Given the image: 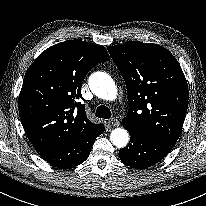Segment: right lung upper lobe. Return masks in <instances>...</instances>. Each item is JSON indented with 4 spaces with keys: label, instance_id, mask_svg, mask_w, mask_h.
I'll return each mask as SVG.
<instances>
[{
    "label": "right lung upper lobe",
    "instance_id": "obj_1",
    "mask_svg": "<svg viewBox=\"0 0 206 206\" xmlns=\"http://www.w3.org/2000/svg\"><path fill=\"white\" fill-rule=\"evenodd\" d=\"M110 57L103 46L70 40L53 45L31 64L19 96L23 127L39 153L64 147L99 124L86 116L81 86L86 74Z\"/></svg>",
    "mask_w": 206,
    "mask_h": 206
}]
</instances>
